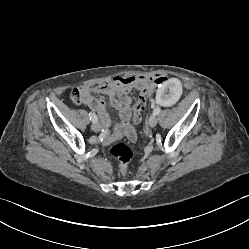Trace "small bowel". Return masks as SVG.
Segmentation results:
<instances>
[{
    "mask_svg": "<svg viewBox=\"0 0 249 249\" xmlns=\"http://www.w3.org/2000/svg\"><path fill=\"white\" fill-rule=\"evenodd\" d=\"M163 77L164 79H168L165 76ZM160 82L161 77L159 75L151 77L141 75L127 77L116 76L107 83L97 86H82L79 90L84 96L82 103L98 114L101 127L105 132V141L118 139L124 134H126L131 141H134L135 132L130 125L131 91L133 88H136L140 91L141 95L151 98L155 87H159ZM94 94L107 96L111 106L119 111L120 121L112 134L108 133L110 120L106 111L105 101L103 97H96Z\"/></svg>",
    "mask_w": 249,
    "mask_h": 249,
    "instance_id": "1",
    "label": "small bowel"
}]
</instances>
